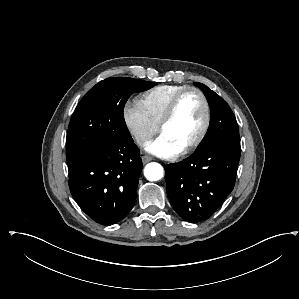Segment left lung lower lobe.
<instances>
[{
  "label": "left lung lower lobe",
  "mask_w": 299,
  "mask_h": 299,
  "mask_svg": "<svg viewBox=\"0 0 299 299\" xmlns=\"http://www.w3.org/2000/svg\"><path fill=\"white\" fill-rule=\"evenodd\" d=\"M239 160L240 148L214 144L167 165V193L178 215L189 222L210 218L233 190Z\"/></svg>",
  "instance_id": "0a47b994"
}]
</instances>
